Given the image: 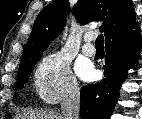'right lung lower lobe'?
<instances>
[{
	"label": "right lung lower lobe",
	"instance_id": "1",
	"mask_svg": "<svg viewBox=\"0 0 142 119\" xmlns=\"http://www.w3.org/2000/svg\"><path fill=\"white\" fill-rule=\"evenodd\" d=\"M139 30L105 45L104 79L81 89V119H110L119 97V86L138 59Z\"/></svg>",
	"mask_w": 142,
	"mask_h": 119
}]
</instances>
